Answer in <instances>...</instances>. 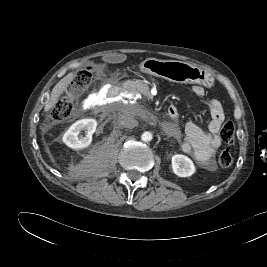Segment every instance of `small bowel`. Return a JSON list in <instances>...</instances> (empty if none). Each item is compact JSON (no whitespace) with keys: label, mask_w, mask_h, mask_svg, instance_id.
Here are the masks:
<instances>
[{"label":"small bowel","mask_w":267,"mask_h":267,"mask_svg":"<svg viewBox=\"0 0 267 267\" xmlns=\"http://www.w3.org/2000/svg\"><path fill=\"white\" fill-rule=\"evenodd\" d=\"M192 92L199 98H203L206 95L205 89L198 85L192 88ZM208 107L211 116L208 125L209 131H203L192 121L187 122L185 125V138L182 143V150L192 155L196 162L203 168L214 170L215 162L213 158L221 145V139L218 133L225 119V114L221 103L216 99H211L208 102Z\"/></svg>","instance_id":"1"}]
</instances>
